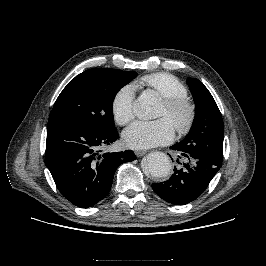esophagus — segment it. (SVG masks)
I'll list each match as a JSON object with an SVG mask.
<instances>
[{"instance_id": "1", "label": "esophagus", "mask_w": 266, "mask_h": 266, "mask_svg": "<svg viewBox=\"0 0 266 266\" xmlns=\"http://www.w3.org/2000/svg\"><path fill=\"white\" fill-rule=\"evenodd\" d=\"M147 153V151H145V150H136L135 151V155L137 156V157H142L143 155H145Z\"/></svg>"}]
</instances>
